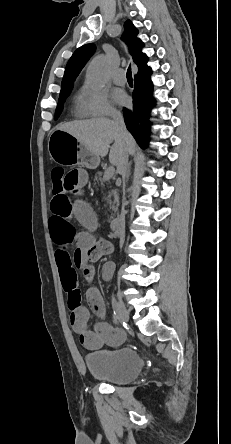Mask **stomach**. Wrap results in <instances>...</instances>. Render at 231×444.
<instances>
[{"label":"stomach","instance_id":"1","mask_svg":"<svg viewBox=\"0 0 231 444\" xmlns=\"http://www.w3.org/2000/svg\"><path fill=\"white\" fill-rule=\"evenodd\" d=\"M48 151L55 162L63 165L80 164L94 169L100 162V158L77 138L62 130L52 132L48 141Z\"/></svg>","mask_w":231,"mask_h":444}]
</instances>
